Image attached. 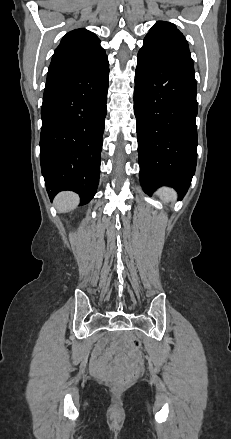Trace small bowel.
<instances>
[{
    "mask_svg": "<svg viewBox=\"0 0 231 439\" xmlns=\"http://www.w3.org/2000/svg\"><path fill=\"white\" fill-rule=\"evenodd\" d=\"M93 363L96 365L97 368L101 367L96 358L93 359Z\"/></svg>",
    "mask_w": 231,
    "mask_h": 439,
    "instance_id": "c3829d8e",
    "label": "small bowel"
}]
</instances>
